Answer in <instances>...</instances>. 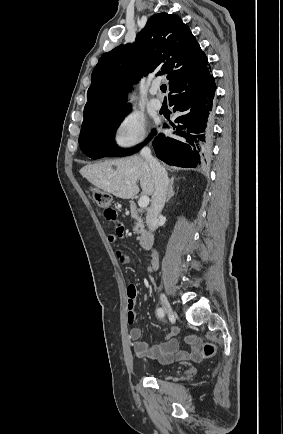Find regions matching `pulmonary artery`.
Instances as JSON below:
<instances>
[{"label":"pulmonary artery","instance_id":"obj_1","mask_svg":"<svg viewBox=\"0 0 283 434\" xmlns=\"http://www.w3.org/2000/svg\"><path fill=\"white\" fill-rule=\"evenodd\" d=\"M150 93L152 95V98L150 100V104L151 106L155 109V110H160L162 108V101L161 99L158 97L159 93H160V88L159 85L156 83L152 86Z\"/></svg>","mask_w":283,"mask_h":434}]
</instances>
